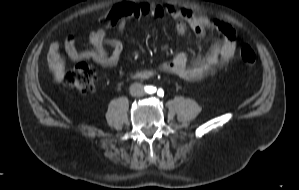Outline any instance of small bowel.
<instances>
[{
	"instance_id": "1",
	"label": "small bowel",
	"mask_w": 299,
	"mask_h": 190,
	"mask_svg": "<svg viewBox=\"0 0 299 190\" xmlns=\"http://www.w3.org/2000/svg\"><path fill=\"white\" fill-rule=\"evenodd\" d=\"M170 15L176 22V33L183 36L187 27L195 33L202 35L206 28H216L222 35V41L215 42L206 56L193 62L188 61L185 51H180L167 61L157 64L159 71L174 74L184 80L197 81L213 74L218 68L224 66L234 55L236 49V34L226 24L215 22L208 17L192 13L187 8H175L159 3H146L136 1H123L113 5L105 14L107 27L94 30L89 35L90 48L79 50L75 39L70 36L64 43L67 55L75 61L91 60L104 67L116 65L123 53V42L117 37H110L108 30L116 28L122 33L131 19L144 15L162 17ZM109 45L112 51L108 53L105 46ZM61 44L57 41L50 44L48 52V64L54 67L60 57Z\"/></svg>"
}]
</instances>
